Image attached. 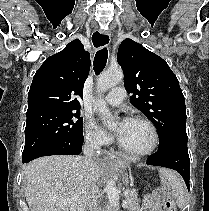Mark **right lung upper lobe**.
Here are the masks:
<instances>
[{"mask_svg":"<svg viewBox=\"0 0 209 211\" xmlns=\"http://www.w3.org/2000/svg\"><path fill=\"white\" fill-rule=\"evenodd\" d=\"M90 64V55L78 39L48 57L33 77L27 113L45 109L79 110L80 103L74 96L83 97Z\"/></svg>","mask_w":209,"mask_h":211,"instance_id":"obj_1","label":"right lung upper lobe"}]
</instances>
